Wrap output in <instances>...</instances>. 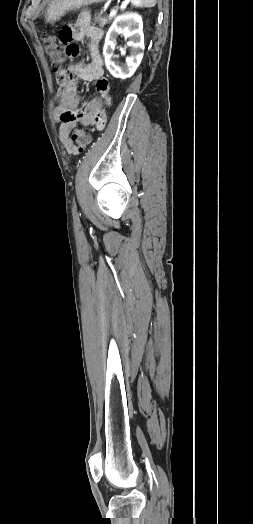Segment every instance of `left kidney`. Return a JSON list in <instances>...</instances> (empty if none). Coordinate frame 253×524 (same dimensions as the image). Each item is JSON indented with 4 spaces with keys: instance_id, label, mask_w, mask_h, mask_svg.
I'll return each instance as SVG.
<instances>
[{
    "instance_id": "left-kidney-1",
    "label": "left kidney",
    "mask_w": 253,
    "mask_h": 524,
    "mask_svg": "<svg viewBox=\"0 0 253 524\" xmlns=\"http://www.w3.org/2000/svg\"><path fill=\"white\" fill-rule=\"evenodd\" d=\"M118 35H123L129 39L127 46L131 49L130 56L126 58V63L123 66L118 65L113 60ZM144 48L141 16L136 13H126L118 16L106 34L103 47L105 65L111 75L121 79L131 77L141 63Z\"/></svg>"
}]
</instances>
